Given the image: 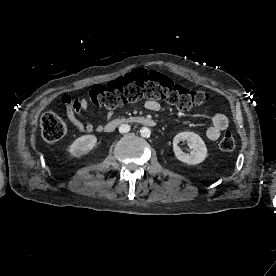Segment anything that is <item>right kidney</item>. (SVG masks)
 I'll list each match as a JSON object with an SVG mask.
<instances>
[{
  "label": "right kidney",
  "instance_id": "right-kidney-1",
  "mask_svg": "<svg viewBox=\"0 0 276 276\" xmlns=\"http://www.w3.org/2000/svg\"><path fill=\"white\" fill-rule=\"evenodd\" d=\"M97 143L94 135H83L77 138L68 148L69 153L74 157H81L91 151Z\"/></svg>",
  "mask_w": 276,
  "mask_h": 276
}]
</instances>
